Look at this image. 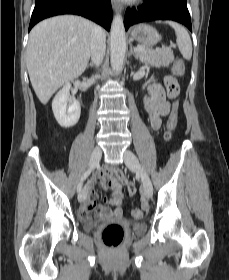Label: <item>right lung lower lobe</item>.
I'll use <instances>...</instances> for the list:
<instances>
[{
	"label": "right lung lower lobe",
	"mask_w": 229,
	"mask_h": 280,
	"mask_svg": "<svg viewBox=\"0 0 229 280\" xmlns=\"http://www.w3.org/2000/svg\"><path fill=\"white\" fill-rule=\"evenodd\" d=\"M61 14L86 17L110 30L112 9L110 0H35L29 31L39 21Z\"/></svg>",
	"instance_id": "1"
}]
</instances>
